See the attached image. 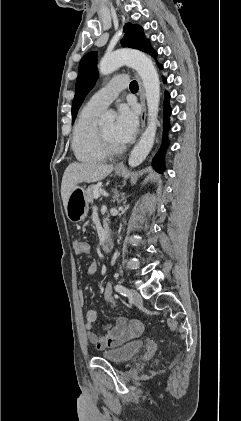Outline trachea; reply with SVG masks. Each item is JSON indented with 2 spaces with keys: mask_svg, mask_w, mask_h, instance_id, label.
<instances>
[{
  "mask_svg": "<svg viewBox=\"0 0 241 421\" xmlns=\"http://www.w3.org/2000/svg\"><path fill=\"white\" fill-rule=\"evenodd\" d=\"M130 90L131 91H133V90H138V83L136 82V81H132L131 83H130Z\"/></svg>",
  "mask_w": 241,
  "mask_h": 421,
  "instance_id": "1",
  "label": "trachea"
}]
</instances>
